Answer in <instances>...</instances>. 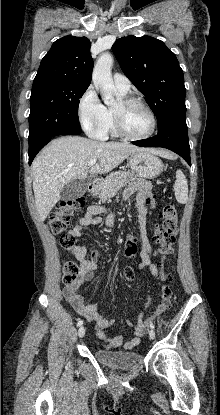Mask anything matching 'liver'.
Masks as SVG:
<instances>
[{"instance_id": "obj_1", "label": "liver", "mask_w": 220, "mask_h": 415, "mask_svg": "<svg viewBox=\"0 0 220 415\" xmlns=\"http://www.w3.org/2000/svg\"><path fill=\"white\" fill-rule=\"evenodd\" d=\"M146 151L121 142H102L78 136L60 137L47 145L32 164L35 205L44 221L60 199L61 190L70 182L84 180L88 174H105L120 165L129 155ZM169 156L165 151H156ZM99 162L88 167L90 160Z\"/></svg>"}]
</instances>
